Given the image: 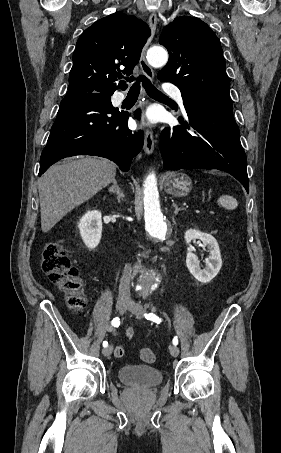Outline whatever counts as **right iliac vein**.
Wrapping results in <instances>:
<instances>
[{"label": "right iliac vein", "mask_w": 281, "mask_h": 453, "mask_svg": "<svg viewBox=\"0 0 281 453\" xmlns=\"http://www.w3.org/2000/svg\"><path fill=\"white\" fill-rule=\"evenodd\" d=\"M128 305H129V301H116L115 310H120V312H125ZM112 349H114V346L109 345V348H103L102 354L105 357H107L108 355H111Z\"/></svg>", "instance_id": "63e3f726"}]
</instances>
